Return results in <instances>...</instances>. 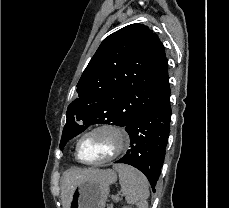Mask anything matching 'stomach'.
I'll return each instance as SVG.
<instances>
[{
	"mask_svg": "<svg viewBox=\"0 0 229 208\" xmlns=\"http://www.w3.org/2000/svg\"><path fill=\"white\" fill-rule=\"evenodd\" d=\"M114 182H117V174L112 170H103L100 178L81 182L71 196L69 208H105L109 186Z\"/></svg>",
	"mask_w": 229,
	"mask_h": 208,
	"instance_id": "obj_1",
	"label": "stomach"
}]
</instances>
